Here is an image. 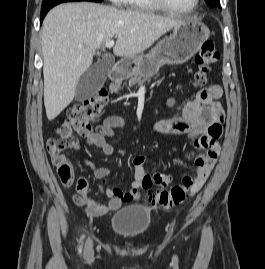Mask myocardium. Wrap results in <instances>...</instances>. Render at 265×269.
Returning <instances> with one entry per match:
<instances>
[{
  "label": "myocardium",
  "instance_id": "f54148a6",
  "mask_svg": "<svg viewBox=\"0 0 265 269\" xmlns=\"http://www.w3.org/2000/svg\"><path fill=\"white\" fill-rule=\"evenodd\" d=\"M151 3L157 7L158 9L169 12V13H176V14H190L194 12L200 3V0H195L193 6L190 9H177L170 5H168L164 0H150Z\"/></svg>",
  "mask_w": 265,
  "mask_h": 269
}]
</instances>
